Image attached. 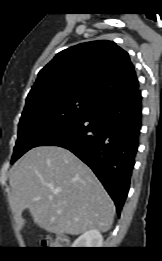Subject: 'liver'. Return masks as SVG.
I'll use <instances>...</instances> for the list:
<instances>
[{
	"label": "liver",
	"instance_id": "obj_1",
	"mask_svg": "<svg viewBox=\"0 0 162 261\" xmlns=\"http://www.w3.org/2000/svg\"><path fill=\"white\" fill-rule=\"evenodd\" d=\"M9 198L19 229L28 209L34 222L55 234L107 232L114 203L94 173L72 152L58 146L28 151L10 171Z\"/></svg>",
	"mask_w": 162,
	"mask_h": 261
}]
</instances>
